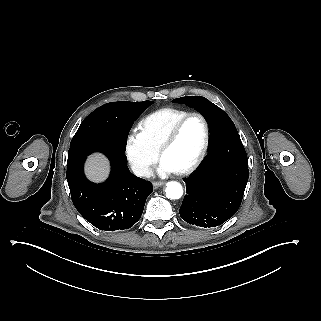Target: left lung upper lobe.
Listing matches in <instances>:
<instances>
[{
  "instance_id": "obj_1",
  "label": "left lung upper lobe",
  "mask_w": 321,
  "mask_h": 321,
  "mask_svg": "<svg viewBox=\"0 0 321 321\" xmlns=\"http://www.w3.org/2000/svg\"><path fill=\"white\" fill-rule=\"evenodd\" d=\"M174 101L185 102L194 107L206 119L210 127V141L229 133H237L230 117L208 99L201 96H188Z\"/></svg>"
}]
</instances>
